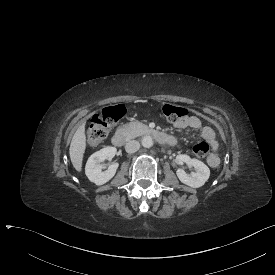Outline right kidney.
Segmentation results:
<instances>
[{
	"instance_id": "ca27d5eb",
	"label": "right kidney",
	"mask_w": 275,
	"mask_h": 275,
	"mask_svg": "<svg viewBox=\"0 0 275 275\" xmlns=\"http://www.w3.org/2000/svg\"><path fill=\"white\" fill-rule=\"evenodd\" d=\"M116 152L117 149L115 147L107 146L93 153L88 158L85 166V174L91 182L96 185H103L115 175L119 166L118 163L111 164L104 172H102V165L100 163L105 159H112Z\"/></svg>"
}]
</instances>
